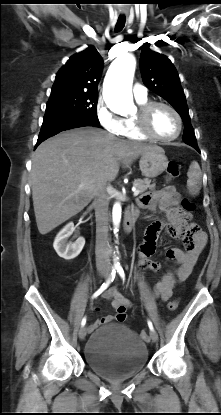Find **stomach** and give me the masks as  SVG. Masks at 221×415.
I'll return each instance as SVG.
<instances>
[{"mask_svg": "<svg viewBox=\"0 0 221 415\" xmlns=\"http://www.w3.org/2000/svg\"><path fill=\"white\" fill-rule=\"evenodd\" d=\"M168 166V159L160 147H155L143 153L139 160L142 175L155 178L162 174Z\"/></svg>", "mask_w": 221, "mask_h": 415, "instance_id": "0dacf381", "label": "stomach"}]
</instances>
